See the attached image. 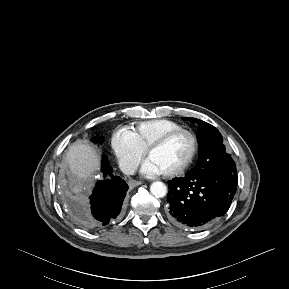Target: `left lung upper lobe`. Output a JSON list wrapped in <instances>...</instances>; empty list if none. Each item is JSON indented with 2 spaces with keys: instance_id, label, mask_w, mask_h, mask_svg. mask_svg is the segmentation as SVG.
<instances>
[{
  "instance_id": "obj_1",
  "label": "left lung upper lobe",
  "mask_w": 289,
  "mask_h": 289,
  "mask_svg": "<svg viewBox=\"0 0 289 289\" xmlns=\"http://www.w3.org/2000/svg\"><path fill=\"white\" fill-rule=\"evenodd\" d=\"M192 123L198 124V145L199 159L193 172L211 170L217 166H228L231 171L236 172V166L223 145V138L220 132L211 124L196 118L184 117Z\"/></svg>"
}]
</instances>
